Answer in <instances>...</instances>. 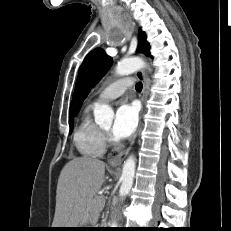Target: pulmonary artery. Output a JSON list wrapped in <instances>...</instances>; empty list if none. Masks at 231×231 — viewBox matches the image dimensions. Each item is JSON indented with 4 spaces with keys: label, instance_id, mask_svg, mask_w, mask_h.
<instances>
[{
    "label": "pulmonary artery",
    "instance_id": "pulmonary-artery-1",
    "mask_svg": "<svg viewBox=\"0 0 231 231\" xmlns=\"http://www.w3.org/2000/svg\"><path fill=\"white\" fill-rule=\"evenodd\" d=\"M132 83L130 77H124L114 81L101 91L93 105H98L102 102H107L121 96L127 88L132 86Z\"/></svg>",
    "mask_w": 231,
    "mask_h": 231
}]
</instances>
